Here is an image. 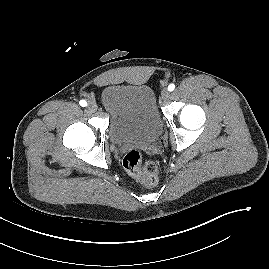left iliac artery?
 Returning a JSON list of instances; mask_svg holds the SVG:
<instances>
[{"mask_svg": "<svg viewBox=\"0 0 269 269\" xmlns=\"http://www.w3.org/2000/svg\"><path fill=\"white\" fill-rule=\"evenodd\" d=\"M175 89V85L174 84H170L169 86H168V90L169 91H173Z\"/></svg>", "mask_w": 269, "mask_h": 269, "instance_id": "1", "label": "left iliac artery"}]
</instances>
